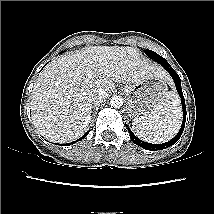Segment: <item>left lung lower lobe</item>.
Listing matches in <instances>:
<instances>
[{"label": "left lung lower lobe", "instance_id": "left-lung-lower-lobe-1", "mask_svg": "<svg viewBox=\"0 0 214 214\" xmlns=\"http://www.w3.org/2000/svg\"><path fill=\"white\" fill-rule=\"evenodd\" d=\"M161 65L169 72V74L171 75V77L173 78V80L175 82L177 92L181 98L182 109H183V122H182V125H181V128H180L178 134L173 139H171L170 141L165 142L163 144H150V143L144 142V141L140 140L139 138H137L133 134V132L130 129H128V131L130 133V138L132 139V141L135 144H137L147 150H150V151L166 149L169 146L175 144L180 139V137L183 133L184 127H185V122H186V106H185V100H184V96H183L182 89H181L180 77L175 72V70L170 66V64L168 62H165Z\"/></svg>", "mask_w": 214, "mask_h": 214}]
</instances>
